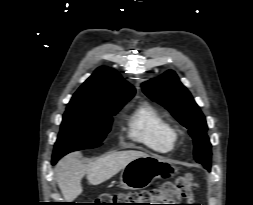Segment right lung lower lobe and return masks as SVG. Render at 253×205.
Here are the masks:
<instances>
[{
  "mask_svg": "<svg viewBox=\"0 0 253 205\" xmlns=\"http://www.w3.org/2000/svg\"><path fill=\"white\" fill-rule=\"evenodd\" d=\"M57 161H55V160H52V164H55Z\"/></svg>",
  "mask_w": 253,
  "mask_h": 205,
  "instance_id": "obj_1",
  "label": "right lung lower lobe"
}]
</instances>
